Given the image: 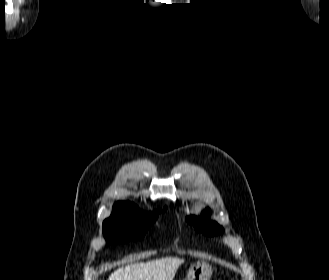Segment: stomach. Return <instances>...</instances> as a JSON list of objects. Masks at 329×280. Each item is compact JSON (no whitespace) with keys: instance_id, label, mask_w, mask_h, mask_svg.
Wrapping results in <instances>:
<instances>
[{"instance_id":"obj_1","label":"stomach","mask_w":329,"mask_h":280,"mask_svg":"<svg viewBox=\"0 0 329 280\" xmlns=\"http://www.w3.org/2000/svg\"><path fill=\"white\" fill-rule=\"evenodd\" d=\"M211 266L205 262H197L190 266L185 280H210Z\"/></svg>"}]
</instances>
